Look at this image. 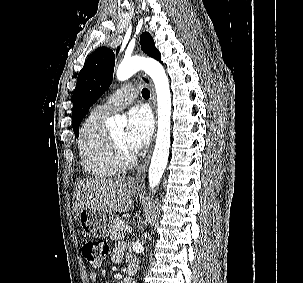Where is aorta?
I'll return each mask as SVG.
<instances>
[{
	"mask_svg": "<svg viewBox=\"0 0 303 283\" xmlns=\"http://www.w3.org/2000/svg\"><path fill=\"white\" fill-rule=\"evenodd\" d=\"M139 70H144L155 85L157 95V136L156 143L149 167V188L154 191L160 184L169 157L170 131H171V92L169 79L163 66L152 58L132 57L125 59L118 66L116 77L119 81H125ZM111 128L124 127L126 121L119 116L112 117L107 121Z\"/></svg>",
	"mask_w": 303,
	"mask_h": 283,
	"instance_id": "1",
	"label": "aorta"
}]
</instances>
